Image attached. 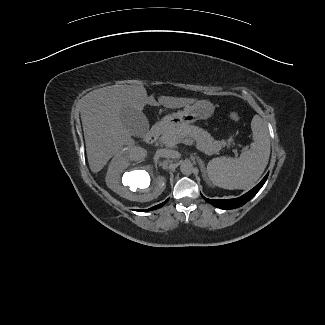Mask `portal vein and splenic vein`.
Wrapping results in <instances>:
<instances>
[{"label": "portal vein and splenic vein", "instance_id": "1", "mask_svg": "<svg viewBox=\"0 0 325 325\" xmlns=\"http://www.w3.org/2000/svg\"><path fill=\"white\" fill-rule=\"evenodd\" d=\"M169 142H170V144H172V145H176V144H178V143L180 142V140H179L178 138H176V137H173V138H171V139L169 140ZM183 143L186 144V145H193V144H194L193 141L190 140V139H185V140H183ZM201 151L204 152V153L207 154V155H211V153L208 152L207 150H201ZM234 152H237V151L234 150Z\"/></svg>", "mask_w": 325, "mask_h": 325}]
</instances>
